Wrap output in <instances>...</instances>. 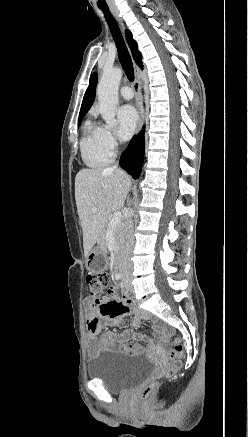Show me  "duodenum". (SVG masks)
<instances>
[{
    "instance_id": "obj_1",
    "label": "duodenum",
    "mask_w": 248,
    "mask_h": 437,
    "mask_svg": "<svg viewBox=\"0 0 248 437\" xmlns=\"http://www.w3.org/2000/svg\"><path fill=\"white\" fill-rule=\"evenodd\" d=\"M114 264H115V267L117 269H119L121 267V265H122V254H121V252H119L117 254V256L115 258V261H114Z\"/></svg>"
}]
</instances>
